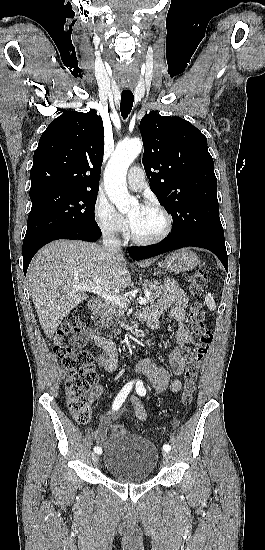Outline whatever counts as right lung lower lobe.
<instances>
[{
	"mask_svg": "<svg viewBox=\"0 0 265 550\" xmlns=\"http://www.w3.org/2000/svg\"><path fill=\"white\" fill-rule=\"evenodd\" d=\"M101 237L99 227H79L67 226L55 229L53 231L41 234L26 242H23V266L26 275L29 263L35 253L45 244L57 239H78L89 242H95Z\"/></svg>",
	"mask_w": 265,
	"mask_h": 550,
	"instance_id": "98d812e1",
	"label": "right lung lower lobe"
}]
</instances>
